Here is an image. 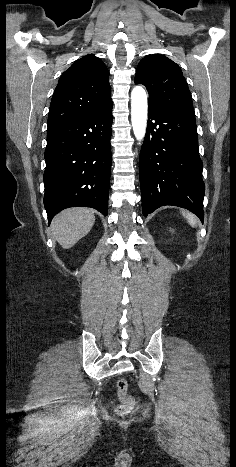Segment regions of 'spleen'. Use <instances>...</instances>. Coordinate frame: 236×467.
<instances>
[{
	"instance_id": "spleen-1",
	"label": "spleen",
	"mask_w": 236,
	"mask_h": 467,
	"mask_svg": "<svg viewBox=\"0 0 236 467\" xmlns=\"http://www.w3.org/2000/svg\"><path fill=\"white\" fill-rule=\"evenodd\" d=\"M183 216L187 218V221L188 223L192 226V227H195L196 226V219L194 217L193 214L189 213V212H182Z\"/></svg>"
}]
</instances>
